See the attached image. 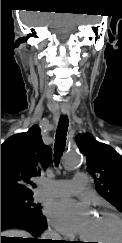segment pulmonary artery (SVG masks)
<instances>
[{
    "label": "pulmonary artery",
    "instance_id": "pulmonary-artery-1",
    "mask_svg": "<svg viewBox=\"0 0 122 243\" xmlns=\"http://www.w3.org/2000/svg\"><path fill=\"white\" fill-rule=\"evenodd\" d=\"M87 187V176L83 172L77 171L73 180H56L44 185L39 191V198L53 196H68L79 193Z\"/></svg>",
    "mask_w": 122,
    "mask_h": 243
}]
</instances>
